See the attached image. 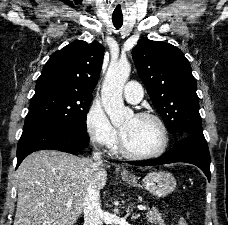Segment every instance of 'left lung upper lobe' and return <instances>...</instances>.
<instances>
[{
	"mask_svg": "<svg viewBox=\"0 0 228 225\" xmlns=\"http://www.w3.org/2000/svg\"><path fill=\"white\" fill-rule=\"evenodd\" d=\"M132 57L170 133L203 135L196 80L182 51L168 43L142 38Z\"/></svg>",
	"mask_w": 228,
	"mask_h": 225,
	"instance_id": "5c2ea615",
	"label": "left lung upper lobe"
}]
</instances>
